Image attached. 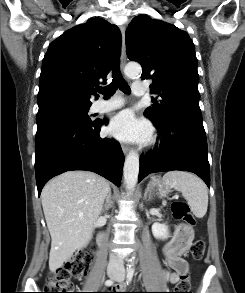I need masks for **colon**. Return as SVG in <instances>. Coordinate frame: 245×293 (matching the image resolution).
<instances>
[{"label":"colon","mask_w":245,"mask_h":293,"mask_svg":"<svg viewBox=\"0 0 245 293\" xmlns=\"http://www.w3.org/2000/svg\"><path fill=\"white\" fill-rule=\"evenodd\" d=\"M171 209L176 219L182 220L188 225L195 224V217L191 214L186 202L181 200L174 201ZM190 252L195 260H201L205 252L204 240H195L190 248ZM91 261L92 256L90 254L74 253L66 263L49 275L44 286V293H77L72 292L74 289L72 280L86 277L89 272ZM189 285V276L185 274L178 283L176 293H190L186 292Z\"/></svg>","instance_id":"1"}]
</instances>
